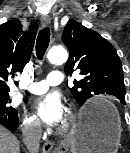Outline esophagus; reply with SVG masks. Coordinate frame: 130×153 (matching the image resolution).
I'll return each instance as SVG.
<instances>
[{
	"label": "esophagus",
	"instance_id": "1",
	"mask_svg": "<svg viewBox=\"0 0 130 153\" xmlns=\"http://www.w3.org/2000/svg\"><path fill=\"white\" fill-rule=\"evenodd\" d=\"M41 23L43 26H48L51 23V18L48 15L41 16ZM42 150L44 153H50L53 150V143L51 141H46L43 144Z\"/></svg>",
	"mask_w": 130,
	"mask_h": 153
}]
</instances>
